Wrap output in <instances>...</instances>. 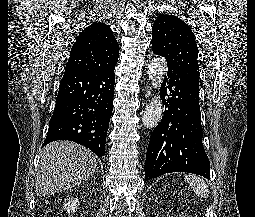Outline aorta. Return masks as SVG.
Returning <instances> with one entry per match:
<instances>
[{
	"mask_svg": "<svg viewBox=\"0 0 255 217\" xmlns=\"http://www.w3.org/2000/svg\"><path fill=\"white\" fill-rule=\"evenodd\" d=\"M167 62L163 57L153 58L148 65V76L151 85L159 90L163 79L167 73ZM163 115L162 102L158 94L154 95L151 101L146 105L142 116L143 125L146 128H154L158 125Z\"/></svg>",
	"mask_w": 255,
	"mask_h": 217,
	"instance_id": "aorta-1",
	"label": "aorta"
}]
</instances>
